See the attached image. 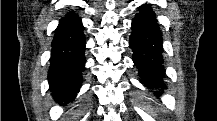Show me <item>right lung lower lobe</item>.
<instances>
[{
	"label": "right lung lower lobe",
	"mask_w": 217,
	"mask_h": 121,
	"mask_svg": "<svg viewBox=\"0 0 217 121\" xmlns=\"http://www.w3.org/2000/svg\"><path fill=\"white\" fill-rule=\"evenodd\" d=\"M85 36L79 17L70 12L59 22L52 41L48 81L60 104L73 100L82 84Z\"/></svg>",
	"instance_id": "1"
}]
</instances>
